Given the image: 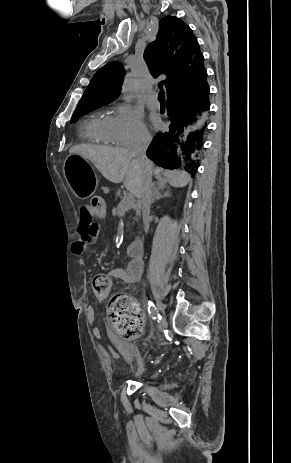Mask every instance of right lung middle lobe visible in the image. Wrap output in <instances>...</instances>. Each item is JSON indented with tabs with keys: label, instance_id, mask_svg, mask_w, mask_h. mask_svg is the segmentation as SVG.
<instances>
[{
	"label": "right lung middle lobe",
	"instance_id": "1",
	"mask_svg": "<svg viewBox=\"0 0 291 463\" xmlns=\"http://www.w3.org/2000/svg\"><path fill=\"white\" fill-rule=\"evenodd\" d=\"M97 106H101V105H82V106H78L76 108L73 116H72L71 122H75L76 119L79 118L82 114L94 109Z\"/></svg>",
	"mask_w": 291,
	"mask_h": 463
}]
</instances>
